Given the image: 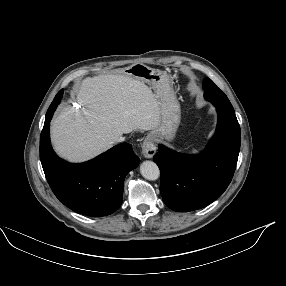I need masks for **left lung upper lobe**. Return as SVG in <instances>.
Here are the masks:
<instances>
[{
    "mask_svg": "<svg viewBox=\"0 0 286 286\" xmlns=\"http://www.w3.org/2000/svg\"><path fill=\"white\" fill-rule=\"evenodd\" d=\"M203 89L204 96L208 101L212 103H228V107L234 110L227 96L209 78L203 81Z\"/></svg>",
    "mask_w": 286,
    "mask_h": 286,
    "instance_id": "1",
    "label": "left lung upper lobe"
}]
</instances>
